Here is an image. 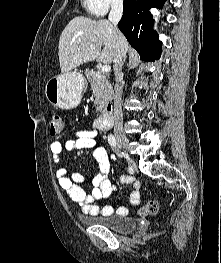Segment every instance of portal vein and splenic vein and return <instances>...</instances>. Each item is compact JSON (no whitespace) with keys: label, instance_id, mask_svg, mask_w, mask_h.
Here are the masks:
<instances>
[{"label":"portal vein and splenic vein","instance_id":"obj_1","mask_svg":"<svg viewBox=\"0 0 221 263\" xmlns=\"http://www.w3.org/2000/svg\"><path fill=\"white\" fill-rule=\"evenodd\" d=\"M110 70H111V67H110V65H107V64L103 65L102 68H101V71L103 73H109Z\"/></svg>","mask_w":221,"mask_h":263}]
</instances>
